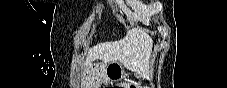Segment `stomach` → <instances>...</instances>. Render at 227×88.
Masks as SVG:
<instances>
[{
	"mask_svg": "<svg viewBox=\"0 0 227 88\" xmlns=\"http://www.w3.org/2000/svg\"><path fill=\"white\" fill-rule=\"evenodd\" d=\"M106 73L111 81H120L125 77V71L119 62L114 61L106 65ZM139 78V76H137Z\"/></svg>",
	"mask_w": 227,
	"mask_h": 88,
	"instance_id": "0dacf381",
	"label": "stomach"
}]
</instances>
